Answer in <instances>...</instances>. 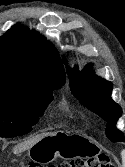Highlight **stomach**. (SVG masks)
Listing matches in <instances>:
<instances>
[{"mask_svg": "<svg viewBox=\"0 0 125 167\" xmlns=\"http://www.w3.org/2000/svg\"><path fill=\"white\" fill-rule=\"evenodd\" d=\"M98 152V145L87 136L81 133L59 131L34 144L28 150V155L31 160L42 164L52 162L57 157L72 159L96 155Z\"/></svg>", "mask_w": 125, "mask_h": 167, "instance_id": "0dacf381", "label": "stomach"}]
</instances>
